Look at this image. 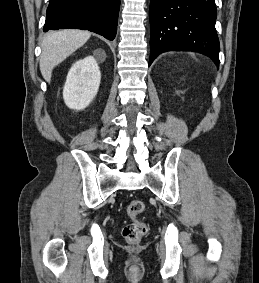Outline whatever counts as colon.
Wrapping results in <instances>:
<instances>
[{
  "instance_id": "colon-1",
  "label": "colon",
  "mask_w": 259,
  "mask_h": 283,
  "mask_svg": "<svg viewBox=\"0 0 259 283\" xmlns=\"http://www.w3.org/2000/svg\"><path fill=\"white\" fill-rule=\"evenodd\" d=\"M144 209L145 204L139 199L132 200L127 207V214L131 218V222L124 226L122 234L129 244H138L147 234L148 227L146 223L138 219Z\"/></svg>"
}]
</instances>
